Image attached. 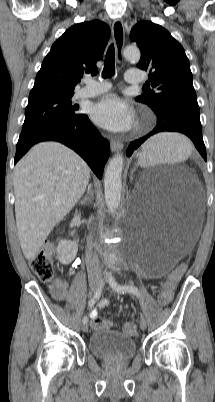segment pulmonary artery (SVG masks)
<instances>
[{
	"label": "pulmonary artery",
	"instance_id": "obj_1",
	"mask_svg": "<svg viewBox=\"0 0 215 402\" xmlns=\"http://www.w3.org/2000/svg\"><path fill=\"white\" fill-rule=\"evenodd\" d=\"M126 82L130 84H138L143 81V77L139 71L129 70L125 74ZM86 84L77 92L78 98H91L107 92L111 85L108 82L96 81L91 78L84 80Z\"/></svg>",
	"mask_w": 215,
	"mask_h": 402
}]
</instances>
